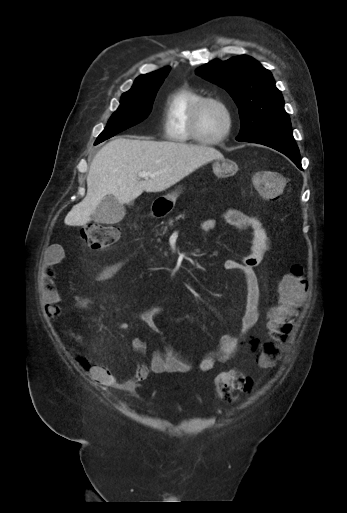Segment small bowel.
Here are the masks:
<instances>
[{
    "label": "small bowel",
    "instance_id": "small-bowel-1",
    "mask_svg": "<svg viewBox=\"0 0 347 513\" xmlns=\"http://www.w3.org/2000/svg\"><path fill=\"white\" fill-rule=\"evenodd\" d=\"M223 220L237 232L249 235V247L242 260H228L223 264L227 271L237 273L244 282L245 304L236 332L227 333L219 338L215 349L207 351L199 361V369L203 372L211 371L217 363H225L242 350L248 351L252 347L249 333L259 319V285L256 267L261 264L264 255L270 250V240L262 222L256 216H249L240 210L229 208L222 214ZM216 221L212 218L202 221L200 227L205 232H212L216 228ZM60 246L51 247L44 258L37 277V286L40 295L46 305V312L51 318H57L61 314V296L55 285L53 268L60 262ZM130 261L129 257L117 262L105 265L98 273V281H105L114 277ZM76 305L85 309L89 302L87 299H79ZM165 311L164 305H155L140 314V319L155 333L161 334L156 319ZM74 339L81 342L77 335ZM132 347L137 355H144L147 351L146 342L141 338L132 340ZM82 368L87 375L101 385L108 387L121 386L126 389H134L144 380L150 372L186 373L191 370V364L181 357L171 346L166 345L161 351L152 354L150 363H136L131 378L124 381H116L113 376L100 364L82 361Z\"/></svg>",
    "mask_w": 347,
    "mask_h": 513
}]
</instances>
